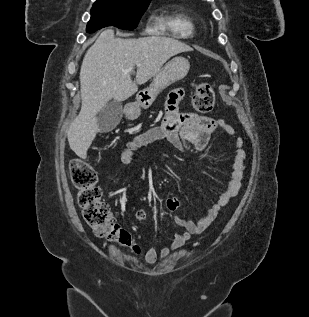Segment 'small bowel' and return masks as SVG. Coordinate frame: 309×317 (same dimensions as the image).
Masks as SVG:
<instances>
[{
  "label": "small bowel",
  "mask_w": 309,
  "mask_h": 317,
  "mask_svg": "<svg viewBox=\"0 0 309 317\" xmlns=\"http://www.w3.org/2000/svg\"><path fill=\"white\" fill-rule=\"evenodd\" d=\"M184 97L183 89L173 90L166 102V114L161 125L153 127L126 143L120 152V161L129 164L134 154L151 143L165 140L179 151H186L188 146L203 152L208 148L212 134L217 130L234 136L236 150L234 152L232 171L230 173L227 186L216 201L209 207L206 213L198 220L191 221L179 216L174 217V222L182 227V232L174 234L170 246L162 247L159 251L145 246V260L149 264L155 263L158 258H166L173 251L184 246L192 235L204 231L217 217L222 207L228 204L231 198L235 197L241 187V182L245 169V152L243 150V140L236 136L234 128L222 119H213L192 112H179V104ZM120 177H116L117 183ZM165 208L169 212H175L180 208V201L175 198L168 199ZM146 212L139 210L136 213L138 221L146 219Z\"/></svg>",
  "instance_id": "1"
}]
</instances>
